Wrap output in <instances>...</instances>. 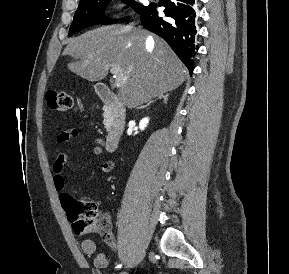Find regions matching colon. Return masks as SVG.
Returning <instances> with one entry per match:
<instances>
[{
  "label": "colon",
  "instance_id": "colon-1",
  "mask_svg": "<svg viewBox=\"0 0 289 274\" xmlns=\"http://www.w3.org/2000/svg\"><path fill=\"white\" fill-rule=\"evenodd\" d=\"M47 105L50 109L64 112L72 108V97L62 90L52 89L46 93ZM62 204L67 212L68 218L73 222L77 234L89 231L99 233L101 236H108L111 232V219L109 215H99L98 206L90 200H77L74 197L64 194Z\"/></svg>",
  "mask_w": 289,
  "mask_h": 274
}]
</instances>
